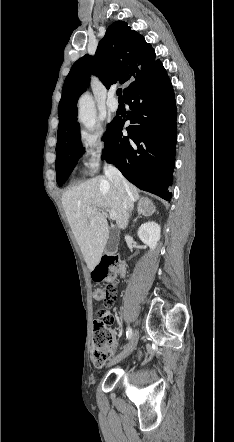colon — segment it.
Segmentation results:
<instances>
[{
    "mask_svg": "<svg viewBox=\"0 0 234 442\" xmlns=\"http://www.w3.org/2000/svg\"><path fill=\"white\" fill-rule=\"evenodd\" d=\"M126 266L116 256H104L101 262L94 268L92 276L97 282H104V285L94 290V299L107 306L113 304L116 299L117 276H124ZM101 314H111L102 309ZM98 319V318H97ZM115 321V320H114ZM114 332L112 328H94L93 338V362L96 366H103L113 353Z\"/></svg>",
    "mask_w": 234,
    "mask_h": 442,
    "instance_id": "1",
    "label": "colon"
}]
</instances>
